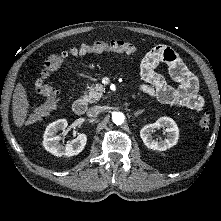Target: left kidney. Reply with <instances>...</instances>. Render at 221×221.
<instances>
[{"mask_svg": "<svg viewBox=\"0 0 221 221\" xmlns=\"http://www.w3.org/2000/svg\"><path fill=\"white\" fill-rule=\"evenodd\" d=\"M156 128H165L167 136L164 140H153L152 133ZM140 137L148 148L165 151L176 145L179 138V129L173 119L161 117L155 123L144 126L140 130Z\"/></svg>", "mask_w": 221, "mask_h": 221, "instance_id": "left-kidney-1", "label": "left kidney"}]
</instances>
